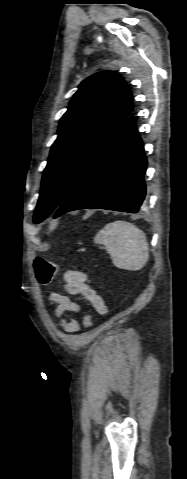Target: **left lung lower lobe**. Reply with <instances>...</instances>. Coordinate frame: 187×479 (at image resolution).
I'll return each instance as SVG.
<instances>
[{
  "mask_svg": "<svg viewBox=\"0 0 187 479\" xmlns=\"http://www.w3.org/2000/svg\"><path fill=\"white\" fill-rule=\"evenodd\" d=\"M144 146L129 116L112 146L87 170L54 218L78 209L137 213L146 195Z\"/></svg>",
  "mask_w": 187,
  "mask_h": 479,
  "instance_id": "left-lung-lower-lobe-1",
  "label": "left lung lower lobe"
}]
</instances>
